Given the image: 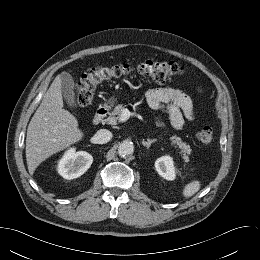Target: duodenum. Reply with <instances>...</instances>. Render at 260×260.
<instances>
[{
    "label": "duodenum",
    "mask_w": 260,
    "mask_h": 260,
    "mask_svg": "<svg viewBox=\"0 0 260 260\" xmlns=\"http://www.w3.org/2000/svg\"><path fill=\"white\" fill-rule=\"evenodd\" d=\"M108 110L105 106H100L92 118V124L98 125L107 116Z\"/></svg>",
    "instance_id": "410a0bca"
}]
</instances>
